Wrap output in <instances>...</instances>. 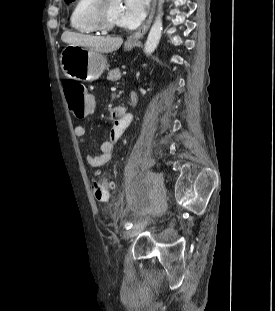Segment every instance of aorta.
I'll use <instances>...</instances> for the list:
<instances>
[{
  "instance_id": "1",
  "label": "aorta",
  "mask_w": 275,
  "mask_h": 311,
  "mask_svg": "<svg viewBox=\"0 0 275 311\" xmlns=\"http://www.w3.org/2000/svg\"><path fill=\"white\" fill-rule=\"evenodd\" d=\"M164 0L158 1V13L155 18V21L150 29V32L148 34L147 41L145 43L144 52L146 55H150L154 52V50L157 48L159 41L161 39V34L163 30L162 25V4Z\"/></svg>"
}]
</instances>
